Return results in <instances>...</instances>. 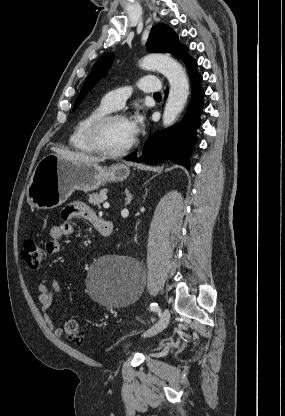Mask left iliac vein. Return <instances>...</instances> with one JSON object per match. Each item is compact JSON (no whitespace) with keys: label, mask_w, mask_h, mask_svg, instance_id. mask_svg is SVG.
Segmentation results:
<instances>
[{"label":"left iliac vein","mask_w":285,"mask_h":416,"mask_svg":"<svg viewBox=\"0 0 285 416\" xmlns=\"http://www.w3.org/2000/svg\"><path fill=\"white\" fill-rule=\"evenodd\" d=\"M170 321V312L168 308L164 309L161 319L149 330L145 332L146 336H154L163 331Z\"/></svg>","instance_id":"4c4485c4"}]
</instances>
